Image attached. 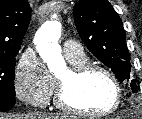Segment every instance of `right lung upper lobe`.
<instances>
[{
	"mask_svg": "<svg viewBox=\"0 0 142 119\" xmlns=\"http://www.w3.org/2000/svg\"><path fill=\"white\" fill-rule=\"evenodd\" d=\"M30 16L27 0H0V53L19 51Z\"/></svg>",
	"mask_w": 142,
	"mask_h": 119,
	"instance_id": "obj_1",
	"label": "right lung upper lobe"
}]
</instances>
